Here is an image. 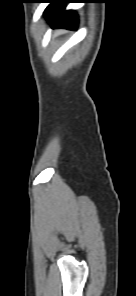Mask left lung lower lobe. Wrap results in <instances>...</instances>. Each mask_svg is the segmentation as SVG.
Segmentation results:
<instances>
[{"label":"left lung lower lobe","mask_w":136,"mask_h":296,"mask_svg":"<svg viewBox=\"0 0 136 296\" xmlns=\"http://www.w3.org/2000/svg\"><path fill=\"white\" fill-rule=\"evenodd\" d=\"M77 2V0H54L53 7L47 14V19L52 28H66L76 30L78 26V17L75 11H65V7L59 5L64 3Z\"/></svg>","instance_id":"left-lung-lower-lobe-1"}]
</instances>
